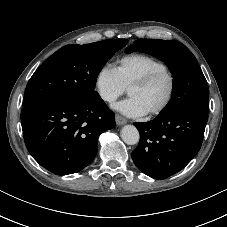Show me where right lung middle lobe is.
Segmentation results:
<instances>
[{
	"label": "right lung middle lobe",
	"instance_id": "right-lung-middle-lobe-1",
	"mask_svg": "<svg viewBox=\"0 0 227 227\" xmlns=\"http://www.w3.org/2000/svg\"><path fill=\"white\" fill-rule=\"evenodd\" d=\"M128 40H104L86 45H66L51 55L32 75L23 106L53 97L86 100L94 91L98 74L105 63Z\"/></svg>",
	"mask_w": 227,
	"mask_h": 227
}]
</instances>
